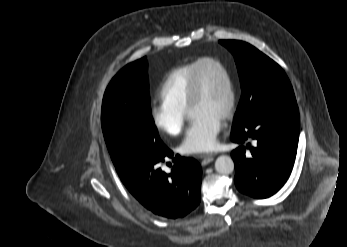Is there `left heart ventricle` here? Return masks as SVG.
<instances>
[{
	"label": "left heart ventricle",
	"instance_id": "b2bd125f",
	"mask_svg": "<svg viewBox=\"0 0 347 247\" xmlns=\"http://www.w3.org/2000/svg\"><path fill=\"white\" fill-rule=\"evenodd\" d=\"M198 74L201 95L190 108V117L211 115L222 119L229 100L228 85L223 72L217 66L204 64Z\"/></svg>",
	"mask_w": 347,
	"mask_h": 247
}]
</instances>
